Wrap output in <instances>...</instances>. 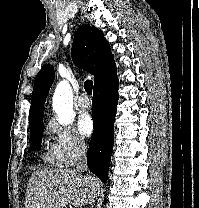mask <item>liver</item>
Listing matches in <instances>:
<instances>
[{
    "label": "liver",
    "mask_w": 199,
    "mask_h": 208,
    "mask_svg": "<svg viewBox=\"0 0 199 208\" xmlns=\"http://www.w3.org/2000/svg\"><path fill=\"white\" fill-rule=\"evenodd\" d=\"M101 185L97 177L74 169H39L29 179L25 208L83 207L99 196Z\"/></svg>",
    "instance_id": "obj_1"
}]
</instances>
